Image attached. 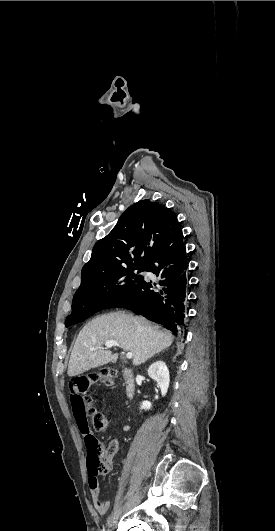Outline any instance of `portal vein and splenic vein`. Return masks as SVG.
<instances>
[{"label": "portal vein and splenic vein", "instance_id": "portal-vein-and-splenic-vein-1", "mask_svg": "<svg viewBox=\"0 0 275 531\" xmlns=\"http://www.w3.org/2000/svg\"><path fill=\"white\" fill-rule=\"evenodd\" d=\"M105 347L106 349H111V347H120V345L117 341H106ZM90 351H97V349H90ZM126 357L127 359H132L133 355L132 353H127Z\"/></svg>", "mask_w": 275, "mask_h": 531}]
</instances>
